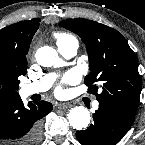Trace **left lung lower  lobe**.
<instances>
[{"mask_svg": "<svg viewBox=\"0 0 145 145\" xmlns=\"http://www.w3.org/2000/svg\"><path fill=\"white\" fill-rule=\"evenodd\" d=\"M94 123L86 130L77 131L82 145H115L132 125L135 114L123 108L100 104L93 114Z\"/></svg>", "mask_w": 145, "mask_h": 145, "instance_id": "left-lung-lower-lobe-1", "label": "left lung lower lobe"}]
</instances>
